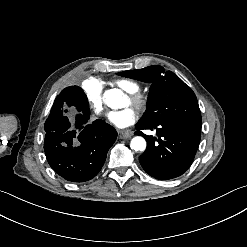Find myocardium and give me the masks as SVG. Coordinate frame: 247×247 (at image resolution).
<instances>
[{"label":"myocardium","mask_w":247,"mask_h":247,"mask_svg":"<svg viewBox=\"0 0 247 247\" xmlns=\"http://www.w3.org/2000/svg\"><path fill=\"white\" fill-rule=\"evenodd\" d=\"M132 101L141 108H146L148 104V97L144 94H134L132 96Z\"/></svg>","instance_id":"obj_1"}]
</instances>
